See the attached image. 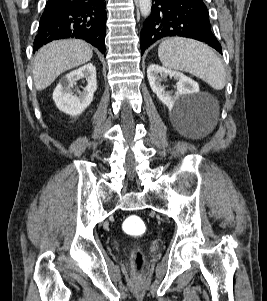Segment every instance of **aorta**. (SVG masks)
<instances>
[{"instance_id":"aorta-1","label":"aorta","mask_w":267,"mask_h":301,"mask_svg":"<svg viewBox=\"0 0 267 301\" xmlns=\"http://www.w3.org/2000/svg\"><path fill=\"white\" fill-rule=\"evenodd\" d=\"M140 12L143 17H148L151 13L152 0H138Z\"/></svg>"}]
</instances>
